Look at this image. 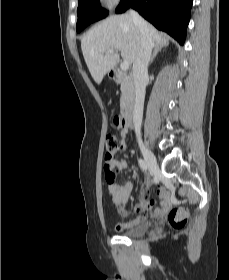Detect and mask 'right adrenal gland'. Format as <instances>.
Masks as SVG:
<instances>
[{
  "instance_id": "obj_1",
  "label": "right adrenal gland",
  "mask_w": 229,
  "mask_h": 280,
  "mask_svg": "<svg viewBox=\"0 0 229 280\" xmlns=\"http://www.w3.org/2000/svg\"><path fill=\"white\" fill-rule=\"evenodd\" d=\"M161 49H162V46H160V45H157V46L154 48V51H153V54H152V56H151V59H150L149 64H151V63L153 62L154 58H155V57L157 56V54L161 51Z\"/></svg>"
}]
</instances>
